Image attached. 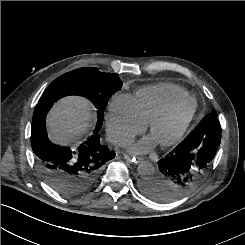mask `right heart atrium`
<instances>
[{
	"label": "right heart atrium",
	"mask_w": 245,
	"mask_h": 245,
	"mask_svg": "<svg viewBox=\"0 0 245 245\" xmlns=\"http://www.w3.org/2000/svg\"><path fill=\"white\" fill-rule=\"evenodd\" d=\"M105 119L107 134L110 140L118 145L129 143L146 128L133 97L126 94H115L110 98Z\"/></svg>",
	"instance_id": "right-heart-atrium-1"
}]
</instances>
